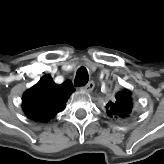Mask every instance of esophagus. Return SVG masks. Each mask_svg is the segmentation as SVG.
Here are the masks:
<instances>
[{
	"label": "esophagus",
	"mask_w": 164,
	"mask_h": 164,
	"mask_svg": "<svg viewBox=\"0 0 164 164\" xmlns=\"http://www.w3.org/2000/svg\"><path fill=\"white\" fill-rule=\"evenodd\" d=\"M95 87V84L93 81H90L89 83H87L84 87L83 90L86 92H91Z\"/></svg>",
	"instance_id": "34e87169"
}]
</instances>
